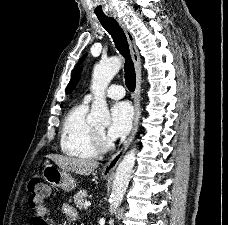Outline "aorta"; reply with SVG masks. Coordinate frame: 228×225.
I'll list each match as a JSON object with an SVG mask.
<instances>
[{
	"label": "aorta",
	"instance_id": "1",
	"mask_svg": "<svg viewBox=\"0 0 228 225\" xmlns=\"http://www.w3.org/2000/svg\"><path fill=\"white\" fill-rule=\"evenodd\" d=\"M122 64L119 56H111L107 60H101L95 64L92 74L91 90L94 94L90 115L87 117L89 125H110L111 117L108 110L105 88L110 80L120 70ZM136 161V149H131L120 161L114 175L113 189L111 193L110 213L113 215L115 209L122 203V199L129 185L132 169ZM109 223L114 225L113 219Z\"/></svg>",
	"mask_w": 228,
	"mask_h": 225
}]
</instances>
